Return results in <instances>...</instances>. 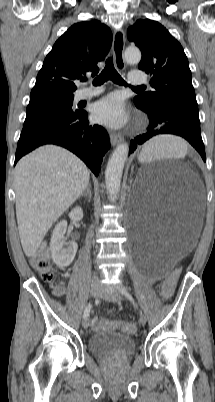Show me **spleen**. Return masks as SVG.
<instances>
[{
  "instance_id": "1",
  "label": "spleen",
  "mask_w": 215,
  "mask_h": 402,
  "mask_svg": "<svg viewBox=\"0 0 215 402\" xmlns=\"http://www.w3.org/2000/svg\"><path fill=\"white\" fill-rule=\"evenodd\" d=\"M186 144L177 137L160 136L147 143L141 156L146 160L160 157H179L186 153Z\"/></svg>"
}]
</instances>
